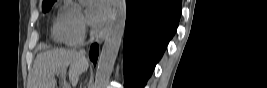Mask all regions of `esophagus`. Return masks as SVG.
<instances>
[{
  "label": "esophagus",
  "mask_w": 267,
  "mask_h": 88,
  "mask_svg": "<svg viewBox=\"0 0 267 88\" xmlns=\"http://www.w3.org/2000/svg\"><path fill=\"white\" fill-rule=\"evenodd\" d=\"M109 25H110V23H107L106 26L102 30H100L99 33H97V35H96V42L97 43L101 44L104 41V39L107 35V32H108Z\"/></svg>",
  "instance_id": "34e87169"
}]
</instances>
